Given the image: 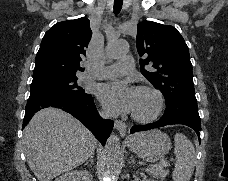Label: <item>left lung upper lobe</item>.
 Wrapping results in <instances>:
<instances>
[{
  "label": "left lung upper lobe",
  "mask_w": 228,
  "mask_h": 181,
  "mask_svg": "<svg viewBox=\"0 0 228 181\" xmlns=\"http://www.w3.org/2000/svg\"><path fill=\"white\" fill-rule=\"evenodd\" d=\"M141 73L165 97L164 122L201 125L188 46L176 28L152 21L137 26Z\"/></svg>",
  "instance_id": "obj_1"
}]
</instances>
